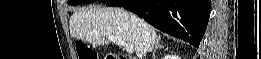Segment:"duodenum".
Instances as JSON below:
<instances>
[{"label": "duodenum", "mask_w": 261, "mask_h": 59, "mask_svg": "<svg viewBox=\"0 0 261 59\" xmlns=\"http://www.w3.org/2000/svg\"><path fill=\"white\" fill-rule=\"evenodd\" d=\"M128 57L117 55V54H112L110 56V59H127Z\"/></svg>", "instance_id": "duodenum-1"}]
</instances>
